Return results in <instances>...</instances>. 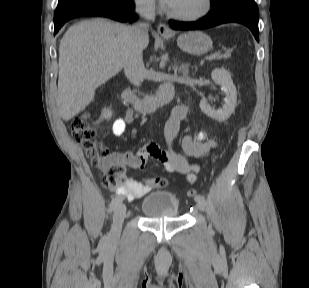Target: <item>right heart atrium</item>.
I'll return each mask as SVG.
<instances>
[{
  "instance_id": "1",
  "label": "right heart atrium",
  "mask_w": 309,
  "mask_h": 288,
  "mask_svg": "<svg viewBox=\"0 0 309 288\" xmlns=\"http://www.w3.org/2000/svg\"><path fill=\"white\" fill-rule=\"evenodd\" d=\"M135 5L143 11H153L156 9V0H134Z\"/></svg>"
}]
</instances>
